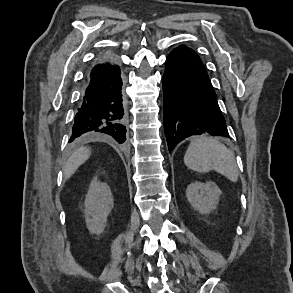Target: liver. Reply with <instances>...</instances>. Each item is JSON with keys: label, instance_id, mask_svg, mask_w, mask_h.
Instances as JSON below:
<instances>
[{"label": "liver", "instance_id": "1", "mask_svg": "<svg viewBox=\"0 0 293 293\" xmlns=\"http://www.w3.org/2000/svg\"><path fill=\"white\" fill-rule=\"evenodd\" d=\"M91 151L87 147H80L67 160L64 167L65 179H69L75 171L82 165L89 157Z\"/></svg>", "mask_w": 293, "mask_h": 293}]
</instances>
